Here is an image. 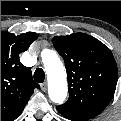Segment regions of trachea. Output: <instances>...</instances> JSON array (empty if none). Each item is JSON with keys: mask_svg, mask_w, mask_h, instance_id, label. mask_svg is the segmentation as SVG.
Returning a JSON list of instances; mask_svg holds the SVG:
<instances>
[{"mask_svg": "<svg viewBox=\"0 0 121 121\" xmlns=\"http://www.w3.org/2000/svg\"><path fill=\"white\" fill-rule=\"evenodd\" d=\"M45 79V73L42 68H37L34 72V80L37 83H42Z\"/></svg>", "mask_w": 121, "mask_h": 121, "instance_id": "3493384b", "label": "trachea"}]
</instances>
